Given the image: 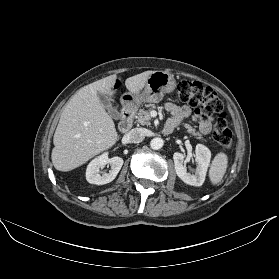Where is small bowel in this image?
<instances>
[{"label": "small bowel", "mask_w": 279, "mask_h": 279, "mask_svg": "<svg viewBox=\"0 0 279 279\" xmlns=\"http://www.w3.org/2000/svg\"><path fill=\"white\" fill-rule=\"evenodd\" d=\"M165 109L171 114L165 126V130H169V132L185 118H192V120L196 121L202 134H208L211 131V122L201 119L198 114L192 113V110L188 106L167 103Z\"/></svg>", "instance_id": "obj_1"}]
</instances>
